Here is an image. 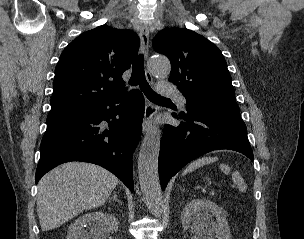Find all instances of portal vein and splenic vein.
<instances>
[{"label": "portal vein and splenic vein", "mask_w": 304, "mask_h": 239, "mask_svg": "<svg viewBox=\"0 0 304 239\" xmlns=\"http://www.w3.org/2000/svg\"><path fill=\"white\" fill-rule=\"evenodd\" d=\"M210 194H211V195H215V192H214V191H212Z\"/></svg>", "instance_id": "18ae733b"}]
</instances>
